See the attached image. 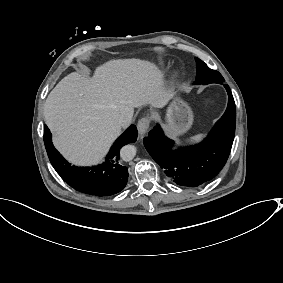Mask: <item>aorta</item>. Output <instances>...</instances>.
Masks as SVG:
<instances>
[{"label": "aorta", "instance_id": "aorta-1", "mask_svg": "<svg viewBox=\"0 0 283 283\" xmlns=\"http://www.w3.org/2000/svg\"><path fill=\"white\" fill-rule=\"evenodd\" d=\"M136 147L134 145H126L121 149V158L122 160L129 162L131 161L136 155Z\"/></svg>", "mask_w": 283, "mask_h": 283}]
</instances>
